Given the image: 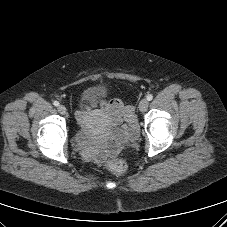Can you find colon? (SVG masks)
Wrapping results in <instances>:
<instances>
[{"label": "colon", "instance_id": "colon-1", "mask_svg": "<svg viewBox=\"0 0 227 227\" xmlns=\"http://www.w3.org/2000/svg\"><path fill=\"white\" fill-rule=\"evenodd\" d=\"M105 167L110 172L120 175L126 171L127 165L122 160H108L105 163Z\"/></svg>", "mask_w": 227, "mask_h": 227}]
</instances>
